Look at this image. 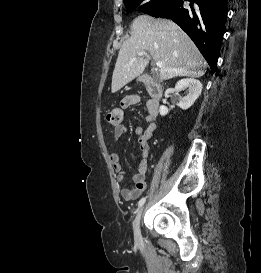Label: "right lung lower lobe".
<instances>
[{
    "instance_id": "98d812e1",
    "label": "right lung lower lobe",
    "mask_w": 261,
    "mask_h": 273,
    "mask_svg": "<svg viewBox=\"0 0 261 273\" xmlns=\"http://www.w3.org/2000/svg\"><path fill=\"white\" fill-rule=\"evenodd\" d=\"M227 12V0H172L151 16L177 23L196 44L214 73L226 31Z\"/></svg>"
}]
</instances>
